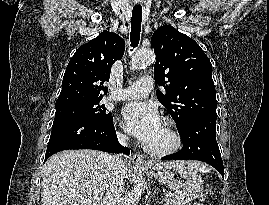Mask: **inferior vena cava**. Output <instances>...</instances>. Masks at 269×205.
I'll return each mask as SVG.
<instances>
[{
	"label": "inferior vena cava",
	"instance_id": "602c4592",
	"mask_svg": "<svg viewBox=\"0 0 269 205\" xmlns=\"http://www.w3.org/2000/svg\"><path fill=\"white\" fill-rule=\"evenodd\" d=\"M118 141L126 146L128 137L117 133ZM110 179L106 193L102 198L100 205H121L122 194L124 192V168L125 161L122 154H116L109 157Z\"/></svg>",
	"mask_w": 269,
	"mask_h": 205
}]
</instances>
